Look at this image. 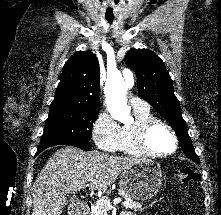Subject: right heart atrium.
I'll use <instances>...</instances> for the list:
<instances>
[{
    "mask_svg": "<svg viewBox=\"0 0 221 215\" xmlns=\"http://www.w3.org/2000/svg\"><path fill=\"white\" fill-rule=\"evenodd\" d=\"M121 127L105 111L100 112L92 127V138L102 150L114 152L118 150Z\"/></svg>",
    "mask_w": 221,
    "mask_h": 215,
    "instance_id": "1",
    "label": "right heart atrium"
}]
</instances>
